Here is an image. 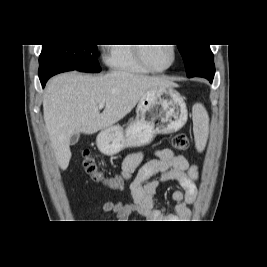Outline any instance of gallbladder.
<instances>
[{"instance_id":"bac80fb5","label":"gallbladder","mask_w":267,"mask_h":267,"mask_svg":"<svg viewBox=\"0 0 267 267\" xmlns=\"http://www.w3.org/2000/svg\"><path fill=\"white\" fill-rule=\"evenodd\" d=\"M79 140V134L75 133L70 138V145H75Z\"/></svg>"}]
</instances>
